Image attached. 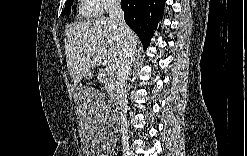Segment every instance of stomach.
Here are the masks:
<instances>
[{
  "label": "stomach",
  "mask_w": 247,
  "mask_h": 156,
  "mask_svg": "<svg viewBox=\"0 0 247 156\" xmlns=\"http://www.w3.org/2000/svg\"><path fill=\"white\" fill-rule=\"evenodd\" d=\"M87 75H88V77H91L92 76L90 73H88Z\"/></svg>",
  "instance_id": "stomach-1"
}]
</instances>
